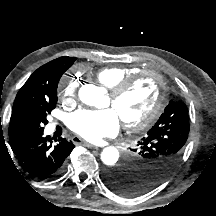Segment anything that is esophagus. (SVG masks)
I'll use <instances>...</instances> for the list:
<instances>
[{"mask_svg":"<svg viewBox=\"0 0 216 216\" xmlns=\"http://www.w3.org/2000/svg\"><path fill=\"white\" fill-rule=\"evenodd\" d=\"M72 141H73V143H75V144H82V145L87 146V147H90V148H97V146H95V145H93V144H91V143L85 141L84 139H82V138L79 137V136H74V137L72 138Z\"/></svg>","mask_w":216,"mask_h":216,"instance_id":"obj_1","label":"esophagus"}]
</instances>
